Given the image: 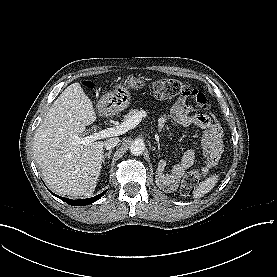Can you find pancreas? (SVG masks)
<instances>
[{"label": "pancreas", "instance_id": "1", "mask_svg": "<svg viewBox=\"0 0 277 277\" xmlns=\"http://www.w3.org/2000/svg\"><path fill=\"white\" fill-rule=\"evenodd\" d=\"M138 112H139L138 109H130L129 112L126 115H124L123 120L124 121L128 120L130 117H132L133 115H135Z\"/></svg>", "mask_w": 277, "mask_h": 277}]
</instances>
